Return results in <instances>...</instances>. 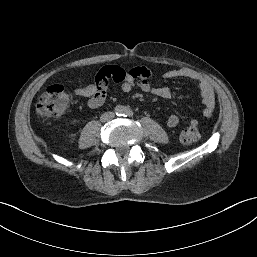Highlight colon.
Segmentation results:
<instances>
[{
	"label": "colon",
	"instance_id": "5ec220e1",
	"mask_svg": "<svg viewBox=\"0 0 257 257\" xmlns=\"http://www.w3.org/2000/svg\"><path fill=\"white\" fill-rule=\"evenodd\" d=\"M95 82L100 89L108 85V79L103 75H97ZM70 102L71 97L67 89L62 84H54L41 95L36 105V113L45 119L56 118L66 112ZM198 139L199 130L195 126L185 128L179 135V141L184 145L192 144Z\"/></svg>",
	"mask_w": 257,
	"mask_h": 257
}]
</instances>
